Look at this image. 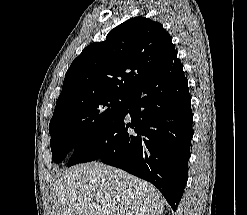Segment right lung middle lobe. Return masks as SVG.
Masks as SVG:
<instances>
[{
  "instance_id": "obj_1",
  "label": "right lung middle lobe",
  "mask_w": 247,
  "mask_h": 215,
  "mask_svg": "<svg viewBox=\"0 0 247 215\" xmlns=\"http://www.w3.org/2000/svg\"><path fill=\"white\" fill-rule=\"evenodd\" d=\"M128 99L129 95L98 94L56 109L49 124L53 160L62 162L80 142L119 117Z\"/></svg>"
}]
</instances>
